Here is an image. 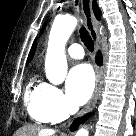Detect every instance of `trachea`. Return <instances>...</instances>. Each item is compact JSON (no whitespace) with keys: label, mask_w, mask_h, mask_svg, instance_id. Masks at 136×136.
<instances>
[{"label":"trachea","mask_w":136,"mask_h":136,"mask_svg":"<svg viewBox=\"0 0 136 136\" xmlns=\"http://www.w3.org/2000/svg\"><path fill=\"white\" fill-rule=\"evenodd\" d=\"M79 32H80L81 40L84 42V44L88 48V50L92 52L94 50V43H93L88 31L84 27H81Z\"/></svg>","instance_id":"3493384b"}]
</instances>
